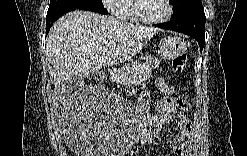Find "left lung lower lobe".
<instances>
[{
    "mask_svg": "<svg viewBox=\"0 0 247 156\" xmlns=\"http://www.w3.org/2000/svg\"><path fill=\"white\" fill-rule=\"evenodd\" d=\"M154 26L184 33L197 40L200 50L205 44V13L201 4L192 7L185 15L171 19L169 22L155 24Z\"/></svg>",
    "mask_w": 247,
    "mask_h": 156,
    "instance_id": "0a47b994",
    "label": "left lung lower lobe"
}]
</instances>
